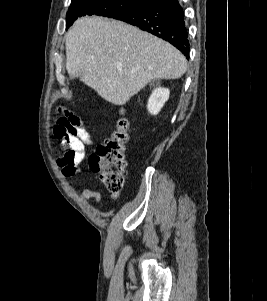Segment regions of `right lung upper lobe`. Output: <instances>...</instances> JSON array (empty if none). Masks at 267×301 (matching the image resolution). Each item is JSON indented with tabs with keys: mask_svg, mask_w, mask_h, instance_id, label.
I'll use <instances>...</instances> for the list:
<instances>
[{
	"mask_svg": "<svg viewBox=\"0 0 267 301\" xmlns=\"http://www.w3.org/2000/svg\"><path fill=\"white\" fill-rule=\"evenodd\" d=\"M143 1H145V3L147 4V3H151V2H153L155 0H143Z\"/></svg>",
	"mask_w": 267,
	"mask_h": 301,
	"instance_id": "obj_1",
	"label": "right lung upper lobe"
}]
</instances>
